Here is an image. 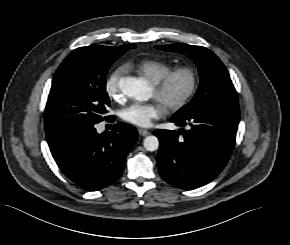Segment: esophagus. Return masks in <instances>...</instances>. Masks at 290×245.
<instances>
[{
	"label": "esophagus",
	"mask_w": 290,
	"mask_h": 245,
	"mask_svg": "<svg viewBox=\"0 0 290 245\" xmlns=\"http://www.w3.org/2000/svg\"><path fill=\"white\" fill-rule=\"evenodd\" d=\"M139 134L141 136L145 137V136H148L150 134V132L148 130H146V129H139Z\"/></svg>",
	"instance_id": "esophagus-1"
}]
</instances>
